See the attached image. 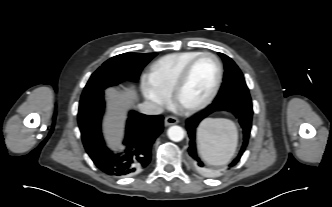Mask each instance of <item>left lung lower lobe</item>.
<instances>
[{"label":"left lung lower lobe","instance_id":"obj_1","mask_svg":"<svg viewBox=\"0 0 332 207\" xmlns=\"http://www.w3.org/2000/svg\"><path fill=\"white\" fill-rule=\"evenodd\" d=\"M215 111H229L232 112L240 122L243 129V144L241 150L239 151L237 157L228 165L229 168L233 167L240 160L242 154L244 153L252 127V101L251 99H241V98H231L221 101H214L212 105L206 108L202 113L189 118L186 121V129L189 136V161L193 167H195L199 172L207 174L210 173L205 169L203 161L199 158L197 154V144H196V128L199 123L207 117L209 114Z\"/></svg>","mask_w":332,"mask_h":207}]
</instances>
